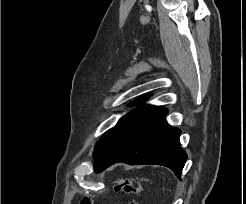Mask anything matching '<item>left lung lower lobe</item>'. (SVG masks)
<instances>
[{"label":"left lung lower lobe","mask_w":246,"mask_h":204,"mask_svg":"<svg viewBox=\"0 0 246 204\" xmlns=\"http://www.w3.org/2000/svg\"><path fill=\"white\" fill-rule=\"evenodd\" d=\"M167 109L144 105L123 116L95 146L96 173L117 162L158 164L170 168L180 178L187 160L181 149V131L170 127Z\"/></svg>","instance_id":"obj_1"}]
</instances>
